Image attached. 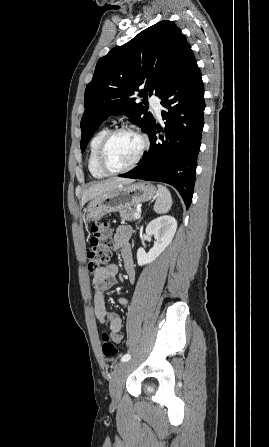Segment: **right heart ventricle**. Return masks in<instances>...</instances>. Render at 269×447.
I'll use <instances>...</instances> for the list:
<instances>
[{
  "label": "right heart ventricle",
  "instance_id": "obj_1",
  "mask_svg": "<svg viewBox=\"0 0 269 447\" xmlns=\"http://www.w3.org/2000/svg\"><path fill=\"white\" fill-rule=\"evenodd\" d=\"M110 131L109 127H102L93 135L89 146L88 168L91 174L96 178H103L108 175L98 163V155L101 142L105 135Z\"/></svg>",
  "mask_w": 269,
  "mask_h": 447
}]
</instances>
